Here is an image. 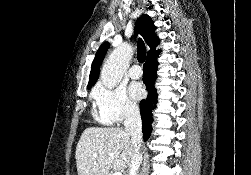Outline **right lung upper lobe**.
Instances as JSON below:
<instances>
[{
	"instance_id": "cb5924a9",
	"label": "right lung upper lobe",
	"mask_w": 251,
	"mask_h": 175,
	"mask_svg": "<svg viewBox=\"0 0 251 175\" xmlns=\"http://www.w3.org/2000/svg\"><path fill=\"white\" fill-rule=\"evenodd\" d=\"M156 27L148 15L141 16L135 24V33L139 32L145 39L150 50L147 53L146 61H155L159 51H156L157 45L160 43L159 38L155 34ZM109 48V43H104L98 49L95 59L92 63V68L89 77L88 89H90L98 80L99 67L104 59V56Z\"/></svg>"
}]
</instances>
